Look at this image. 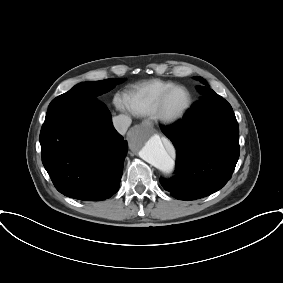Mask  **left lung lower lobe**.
<instances>
[{
	"mask_svg": "<svg viewBox=\"0 0 283 283\" xmlns=\"http://www.w3.org/2000/svg\"><path fill=\"white\" fill-rule=\"evenodd\" d=\"M234 112L220 95L200 99L182 120L162 126L176 148L171 179H160L179 200H195L220 190L235 169L240 154L239 134L225 130Z\"/></svg>",
	"mask_w": 283,
	"mask_h": 283,
	"instance_id": "0a47b994",
	"label": "left lung lower lobe"
}]
</instances>
